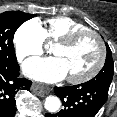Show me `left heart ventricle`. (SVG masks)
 <instances>
[{
	"label": "left heart ventricle",
	"mask_w": 117,
	"mask_h": 117,
	"mask_svg": "<svg viewBox=\"0 0 117 117\" xmlns=\"http://www.w3.org/2000/svg\"><path fill=\"white\" fill-rule=\"evenodd\" d=\"M52 53L58 57L67 77L81 76L90 71L99 57V46L91 35H84L70 46L54 45Z\"/></svg>",
	"instance_id": "left-heart-ventricle-1"
}]
</instances>
